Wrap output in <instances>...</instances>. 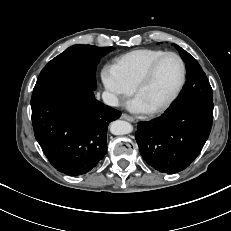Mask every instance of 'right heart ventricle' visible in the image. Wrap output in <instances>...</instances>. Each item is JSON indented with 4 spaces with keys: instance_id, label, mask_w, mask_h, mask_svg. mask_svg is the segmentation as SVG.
Returning <instances> with one entry per match:
<instances>
[{
    "instance_id": "obj_1",
    "label": "right heart ventricle",
    "mask_w": 231,
    "mask_h": 231,
    "mask_svg": "<svg viewBox=\"0 0 231 231\" xmlns=\"http://www.w3.org/2000/svg\"><path fill=\"white\" fill-rule=\"evenodd\" d=\"M165 52L161 49H136L117 57L112 67L119 77L133 88L147 67Z\"/></svg>"
}]
</instances>
